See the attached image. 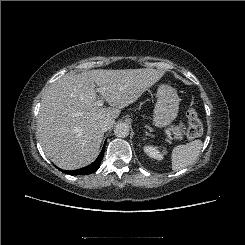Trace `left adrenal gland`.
Wrapping results in <instances>:
<instances>
[{
	"instance_id": "left-adrenal-gland-1",
	"label": "left adrenal gland",
	"mask_w": 245,
	"mask_h": 245,
	"mask_svg": "<svg viewBox=\"0 0 245 245\" xmlns=\"http://www.w3.org/2000/svg\"><path fill=\"white\" fill-rule=\"evenodd\" d=\"M145 135L152 136V134L148 133L147 131H145Z\"/></svg>"
}]
</instances>
